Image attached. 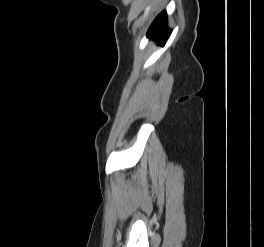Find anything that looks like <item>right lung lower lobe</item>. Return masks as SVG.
<instances>
[{"label":"right lung lower lobe","mask_w":264,"mask_h":247,"mask_svg":"<svg viewBox=\"0 0 264 247\" xmlns=\"http://www.w3.org/2000/svg\"><path fill=\"white\" fill-rule=\"evenodd\" d=\"M166 18L167 15L165 11L157 16L148 30L147 37L164 44L171 34V31L166 28Z\"/></svg>","instance_id":"obj_1"}]
</instances>
